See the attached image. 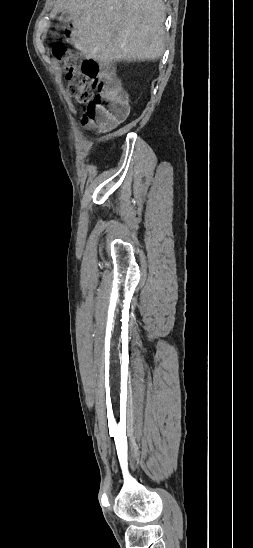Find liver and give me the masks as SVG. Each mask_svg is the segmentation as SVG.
Returning <instances> with one entry per match:
<instances>
[{
    "label": "liver",
    "instance_id": "obj_1",
    "mask_svg": "<svg viewBox=\"0 0 253 548\" xmlns=\"http://www.w3.org/2000/svg\"><path fill=\"white\" fill-rule=\"evenodd\" d=\"M60 12L73 20L75 48L101 65L155 60L164 53L162 0H57L52 14Z\"/></svg>",
    "mask_w": 253,
    "mask_h": 548
}]
</instances>
